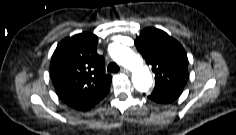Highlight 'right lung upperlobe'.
Segmentation results:
<instances>
[{"instance_id": "obj_1", "label": "right lung upper lobe", "mask_w": 236, "mask_h": 135, "mask_svg": "<svg viewBox=\"0 0 236 135\" xmlns=\"http://www.w3.org/2000/svg\"><path fill=\"white\" fill-rule=\"evenodd\" d=\"M98 37L81 33L63 39L53 53L50 73L60 99L66 104L83 102L103 93L112 76L96 52Z\"/></svg>"}]
</instances>
